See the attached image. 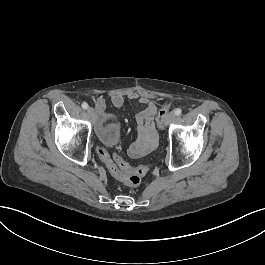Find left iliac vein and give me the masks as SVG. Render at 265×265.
<instances>
[{"label": "left iliac vein", "instance_id": "1", "mask_svg": "<svg viewBox=\"0 0 265 265\" xmlns=\"http://www.w3.org/2000/svg\"><path fill=\"white\" fill-rule=\"evenodd\" d=\"M176 118V115L174 112H169L164 117V125L169 126V124Z\"/></svg>", "mask_w": 265, "mask_h": 265}]
</instances>
